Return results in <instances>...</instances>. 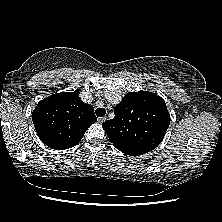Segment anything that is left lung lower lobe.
Wrapping results in <instances>:
<instances>
[{
  "instance_id": "left-lung-lower-lobe-1",
  "label": "left lung lower lobe",
  "mask_w": 222,
  "mask_h": 222,
  "mask_svg": "<svg viewBox=\"0 0 222 222\" xmlns=\"http://www.w3.org/2000/svg\"><path fill=\"white\" fill-rule=\"evenodd\" d=\"M118 150H120L121 152L128 154L130 156H139V155H143L147 152H149V150L147 149H143V148H117Z\"/></svg>"
}]
</instances>
